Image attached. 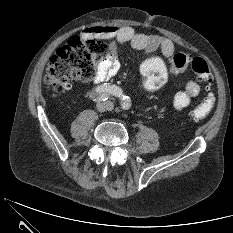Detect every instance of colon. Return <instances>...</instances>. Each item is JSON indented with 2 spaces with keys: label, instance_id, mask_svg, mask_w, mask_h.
Masks as SVG:
<instances>
[{
  "label": "colon",
  "instance_id": "1",
  "mask_svg": "<svg viewBox=\"0 0 233 233\" xmlns=\"http://www.w3.org/2000/svg\"><path fill=\"white\" fill-rule=\"evenodd\" d=\"M107 49L103 40L80 36L71 38L51 57L44 76L46 86L56 93H62L73 82L90 80L94 76L95 63L106 55ZM189 66L207 90L203 100L189 114L191 119L201 120L208 115L215 102L211 92L213 74L203 58H191L185 53L173 54L166 61L156 56L147 57L141 64L143 86L147 91L157 90L167 79L168 67L174 73H181Z\"/></svg>",
  "mask_w": 233,
  "mask_h": 233
}]
</instances>
